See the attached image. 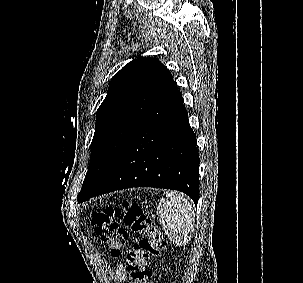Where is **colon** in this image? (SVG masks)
<instances>
[{
	"label": "colon",
	"mask_w": 303,
	"mask_h": 283,
	"mask_svg": "<svg viewBox=\"0 0 303 283\" xmlns=\"http://www.w3.org/2000/svg\"><path fill=\"white\" fill-rule=\"evenodd\" d=\"M117 220L139 236L127 255L130 282L152 283V271L147 267V261L165 248L163 236L137 203L123 201L121 206L99 207L92 213V225L114 257L121 255L128 240L127 230Z\"/></svg>",
	"instance_id": "5ec220e1"
}]
</instances>
